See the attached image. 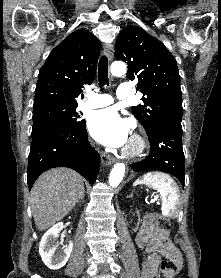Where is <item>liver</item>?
Masks as SVG:
<instances>
[{"mask_svg": "<svg viewBox=\"0 0 221 278\" xmlns=\"http://www.w3.org/2000/svg\"><path fill=\"white\" fill-rule=\"evenodd\" d=\"M84 190L83 178L68 168L43 173L30 192V205L40 231L50 228L71 212Z\"/></svg>", "mask_w": 221, "mask_h": 278, "instance_id": "obj_1", "label": "liver"}]
</instances>
